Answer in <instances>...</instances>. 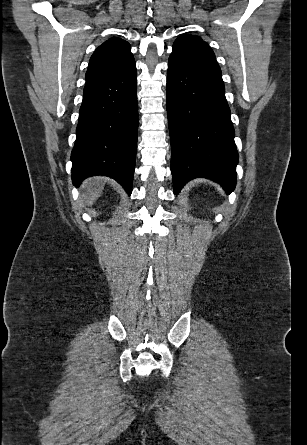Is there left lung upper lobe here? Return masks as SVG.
I'll use <instances>...</instances> for the list:
<instances>
[{
	"label": "left lung upper lobe",
	"mask_w": 307,
	"mask_h": 445,
	"mask_svg": "<svg viewBox=\"0 0 307 445\" xmlns=\"http://www.w3.org/2000/svg\"><path fill=\"white\" fill-rule=\"evenodd\" d=\"M170 57L182 61L204 76L223 83L221 70L210 46L201 38L181 35L174 44Z\"/></svg>",
	"instance_id": "5c2ea615"
}]
</instances>
